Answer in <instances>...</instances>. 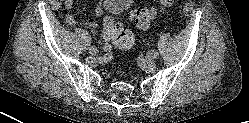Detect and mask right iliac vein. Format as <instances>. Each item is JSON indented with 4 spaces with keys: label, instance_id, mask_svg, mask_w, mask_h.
<instances>
[{
    "label": "right iliac vein",
    "instance_id": "1",
    "mask_svg": "<svg viewBox=\"0 0 249 123\" xmlns=\"http://www.w3.org/2000/svg\"><path fill=\"white\" fill-rule=\"evenodd\" d=\"M97 52H98V50H97L96 47L92 46V47L89 48V53H90L91 55H96Z\"/></svg>",
    "mask_w": 249,
    "mask_h": 123
}]
</instances>
